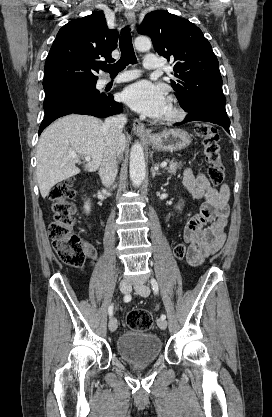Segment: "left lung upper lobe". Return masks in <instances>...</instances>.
Here are the masks:
<instances>
[{"label": "left lung upper lobe", "instance_id": "5c2ea615", "mask_svg": "<svg viewBox=\"0 0 272 417\" xmlns=\"http://www.w3.org/2000/svg\"><path fill=\"white\" fill-rule=\"evenodd\" d=\"M138 33L151 37L159 55L174 58L175 80L171 83L184 110L207 109L227 115L217 57L195 24L157 10L145 16Z\"/></svg>", "mask_w": 272, "mask_h": 417}]
</instances>
